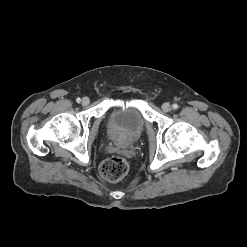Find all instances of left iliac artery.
I'll return each mask as SVG.
<instances>
[{"label": "left iliac artery", "mask_w": 247, "mask_h": 247, "mask_svg": "<svg viewBox=\"0 0 247 247\" xmlns=\"http://www.w3.org/2000/svg\"><path fill=\"white\" fill-rule=\"evenodd\" d=\"M172 108L176 110V109H178V105L177 104H173Z\"/></svg>", "instance_id": "left-iliac-artery-1"}]
</instances>
